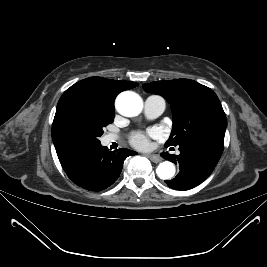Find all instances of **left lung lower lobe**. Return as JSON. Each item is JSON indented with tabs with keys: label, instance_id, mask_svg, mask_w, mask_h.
Listing matches in <instances>:
<instances>
[{
	"label": "left lung lower lobe",
	"instance_id": "1",
	"mask_svg": "<svg viewBox=\"0 0 267 267\" xmlns=\"http://www.w3.org/2000/svg\"><path fill=\"white\" fill-rule=\"evenodd\" d=\"M180 154L175 156L167 152L161 156L173 163H179L180 172L172 180L165 181L175 190H188L202 183L214 170L222 152L223 144L211 141H199L179 146Z\"/></svg>",
	"mask_w": 267,
	"mask_h": 267
}]
</instances>
